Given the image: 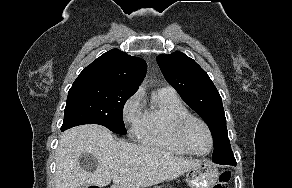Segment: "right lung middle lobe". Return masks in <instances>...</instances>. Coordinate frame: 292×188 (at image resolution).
<instances>
[{
	"label": "right lung middle lobe",
	"mask_w": 292,
	"mask_h": 188,
	"mask_svg": "<svg viewBox=\"0 0 292 188\" xmlns=\"http://www.w3.org/2000/svg\"><path fill=\"white\" fill-rule=\"evenodd\" d=\"M135 92L96 83H73L68 92L61 131L81 124H99L126 134L122 111Z\"/></svg>",
	"instance_id": "right-lung-middle-lobe-1"
}]
</instances>
